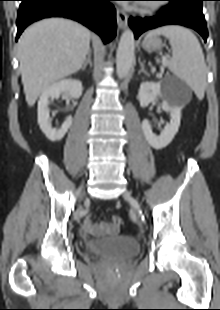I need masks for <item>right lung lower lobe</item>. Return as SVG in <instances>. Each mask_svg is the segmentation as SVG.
I'll use <instances>...</instances> for the list:
<instances>
[{"instance_id": "1", "label": "right lung lower lobe", "mask_w": 220, "mask_h": 310, "mask_svg": "<svg viewBox=\"0 0 220 310\" xmlns=\"http://www.w3.org/2000/svg\"><path fill=\"white\" fill-rule=\"evenodd\" d=\"M111 0H21L17 16L18 40L31 23L47 17L76 20L96 32L104 42L116 34L115 9Z\"/></svg>"}]
</instances>
